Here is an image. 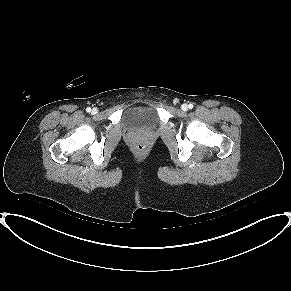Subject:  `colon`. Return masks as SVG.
<instances>
[{
  "label": "colon",
  "mask_w": 291,
  "mask_h": 291,
  "mask_svg": "<svg viewBox=\"0 0 291 291\" xmlns=\"http://www.w3.org/2000/svg\"><path fill=\"white\" fill-rule=\"evenodd\" d=\"M135 149L138 153H143L146 150V146L143 143H138L136 144Z\"/></svg>",
  "instance_id": "obj_1"
}]
</instances>
